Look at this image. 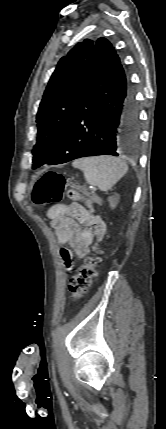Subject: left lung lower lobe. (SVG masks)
I'll use <instances>...</instances> for the list:
<instances>
[{
  "mask_svg": "<svg viewBox=\"0 0 166 429\" xmlns=\"http://www.w3.org/2000/svg\"><path fill=\"white\" fill-rule=\"evenodd\" d=\"M138 139L134 88L113 46L99 38L89 77L60 142L45 164L131 153Z\"/></svg>",
  "mask_w": 166,
  "mask_h": 429,
  "instance_id": "obj_1",
  "label": "left lung lower lobe"
}]
</instances>
